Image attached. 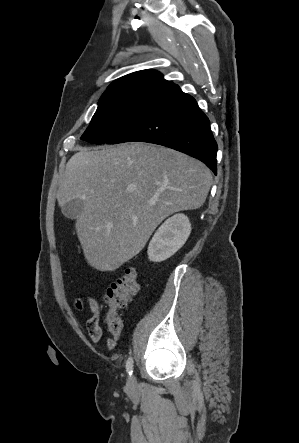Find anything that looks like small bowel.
Here are the masks:
<instances>
[{"label": "small bowel", "mask_w": 299, "mask_h": 443, "mask_svg": "<svg viewBox=\"0 0 299 443\" xmlns=\"http://www.w3.org/2000/svg\"><path fill=\"white\" fill-rule=\"evenodd\" d=\"M89 306L92 311V316L87 320L86 327L89 334L90 339L94 343H98L103 335L102 328L100 326L99 320H100V305L98 302L94 299H90ZM108 344L110 347L114 346V340L109 339Z\"/></svg>", "instance_id": "obj_1"}]
</instances>
